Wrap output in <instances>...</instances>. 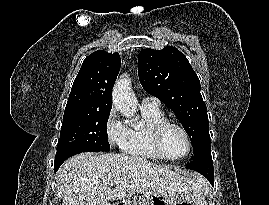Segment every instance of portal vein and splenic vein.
<instances>
[{"instance_id":"1","label":"portal vein and splenic vein","mask_w":269,"mask_h":205,"mask_svg":"<svg viewBox=\"0 0 269 205\" xmlns=\"http://www.w3.org/2000/svg\"><path fill=\"white\" fill-rule=\"evenodd\" d=\"M123 180L121 179V178H115L114 180H113V183L114 184H119V183H121Z\"/></svg>"}]
</instances>
